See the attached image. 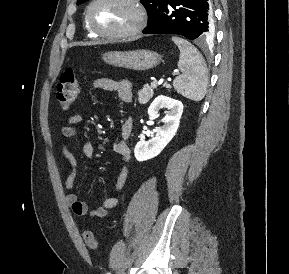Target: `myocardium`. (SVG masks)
Listing matches in <instances>:
<instances>
[{
  "instance_id": "myocardium-1",
  "label": "myocardium",
  "mask_w": 289,
  "mask_h": 274,
  "mask_svg": "<svg viewBox=\"0 0 289 274\" xmlns=\"http://www.w3.org/2000/svg\"><path fill=\"white\" fill-rule=\"evenodd\" d=\"M100 1L101 0H92L87 6L85 13V22L93 34L107 39H127L137 35L143 30L146 24V10L140 0H123L131 5L135 12V20L130 27L116 32H106L96 28L91 20V10L94 5Z\"/></svg>"
}]
</instances>
